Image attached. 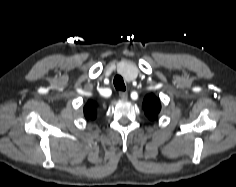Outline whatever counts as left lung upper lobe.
<instances>
[{
	"label": "left lung upper lobe",
	"instance_id": "obj_1",
	"mask_svg": "<svg viewBox=\"0 0 236 187\" xmlns=\"http://www.w3.org/2000/svg\"><path fill=\"white\" fill-rule=\"evenodd\" d=\"M143 109L150 120H156L161 110L160 100L153 94L147 95L143 101Z\"/></svg>",
	"mask_w": 236,
	"mask_h": 187
}]
</instances>
